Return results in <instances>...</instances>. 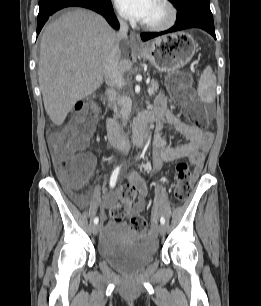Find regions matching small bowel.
<instances>
[{
    "instance_id": "small-bowel-1",
    "label": "small bowel",
    "mask_w": 261,
    "mask_h": 306,
    "mask_svg": "<svg viewBox=\"0 0 261 306\" xmlns=\"http://www.w3.org/2000/svg\"><path fill=\"white\" fill-rule=\"evenodd\" d=\"M154 117L157 121L156 133L154 139V151L152 159V167L154 170L159 169L163 163L172 162L178 159H188L195 167V174H198L206 160L207 154L211 149L213 142V134L210 131H203L202 129L189 125L183 122L177 115L167 110V100L164 95H159L156 99ZM171 126L178 134L183 136L184 141L176 146H171L167 142L166 127ZM91 168L93 170L95 159L89 156ZM61 165L58 164V168ZM129 183L138 194V199L133 205L131 215L141 213L145 208V197L147 194V187L143 179L137 174L129 176ZM74 197L81 205H86L89 202L87 195ZM117 191L104 193L101 196V209L104 215L105 210L111 208L117 200ZM115 228L113 223L106 225L105 241H109L110 233Z\"/></svg>"
}]
</instances>
